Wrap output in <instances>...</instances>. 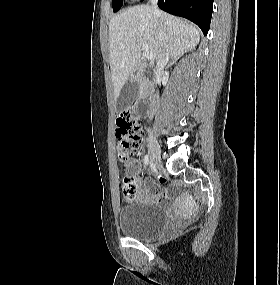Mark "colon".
<instances>
[{
	"label": "colon",
	"instance_id": "colon-1",
	"mask_svg": "<svg viewBox=\"0 0 280 285\" xmlns=\"http://www.w3.org/2000/svg\"><path fill=\"white\" fill-rule=\"evenodd\" d=\"M116 124V138L119 154L122 159H125L128 155L134 154L138 151L141 135L143 133L142 125L139 118L129 109L118 113ZM159 178L162 182L166 181L164 176H159ZM124 185L125 195L131 198L135 188L133 180L131 178H126Z\"/></svg>",
	"mask_w": 280,
	"mask_h": 285
}]
</instances>
